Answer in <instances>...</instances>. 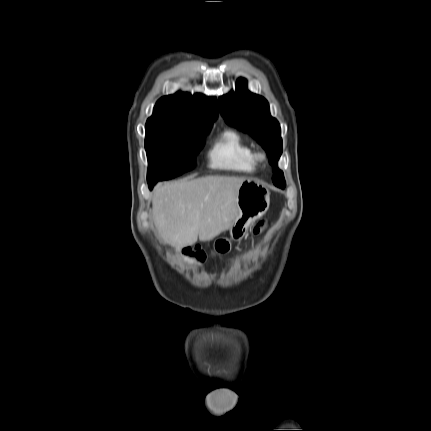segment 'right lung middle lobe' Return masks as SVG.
Here are the masks:
<instances>
[{"label": "right lung middle lobe", "mask_w": 431, "mask_h": 431, "mask_svg": "<svg viewBox=\"0 0 431 431\" xmlns=\"http://www.w3.org/2000/svg\"><path fill=\"white\" fill-rule=\"evenodd\" d=\"M211 127L191 129L146 123L148 182L171 179L193 169L195 157L202 149Z\"/></svg>", "instance_id": "1"}]
</instances>
